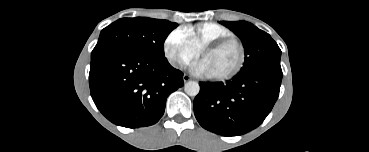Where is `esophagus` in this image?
Here are the masks:
<instances>
[{
    "label": "esophagus",
    "mask_w": 369,
    "mask_h": 152,
    "mask_svg": "<svg viewBox=\"0 0 369 152\" xmlns=\"http://www.w3.org/2000/svg\"><path fill=\"white\" fill-rule=\"evenodd\" d=\"M183 80H184V82H188V81L191 80V77L189 75H187V74H184L183 75Z\"/></svg>",
    "instance_id": "esophagus-1"
}]
</instances>
